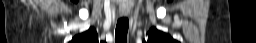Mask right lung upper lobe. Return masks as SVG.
I'll return each mask as SVG.
<instances>
[{
  "mask_svg": "<svg viewBox=\"0 0 256 43\" xmlns=\"http://www.w3.org/2000/svg\"><path fill=\"white\" fill-rule=\"evenodd\" d=\"M70 43H98V35L94 28L75 36Z\"/></svg>",
  "mask_w": 256,
  "mask_h": 43,
  "instance_id": "obj_1",
  "label": "right lung upper lobe"
}]
</instances>
